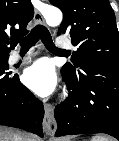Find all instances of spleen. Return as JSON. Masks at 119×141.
Listing matches in <instances>:
<instances>
[{
	"mask_svg": "<svg viewBox=\"0 0 119 141\" xmlns=\"http://www.w3.org/2000/svg\"><path fill=\"white\" fill-rule=\"evenodd\" d=\"M90 141H109V139L103 136L96 135L93 136Z\"/></svg>",
	"mask_w": 119,
	"mask_h": 141,
	"instance_id": "obj_1",
	"label": "spleen"
}]
</instances>
